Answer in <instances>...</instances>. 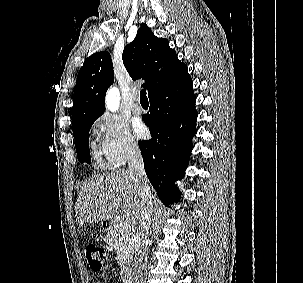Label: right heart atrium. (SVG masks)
Listing matches in <instances>:
<instances>
[{"instance_id":"1","label":"right heart atrium","mask_w":303,"mask_h":283,"mask_svg":"<svg viewBox=\"0 0 303 283\" xmlns=\"http://www.w3.org/2000/svg\"><path fill=\"white\" fill-rule=\"evenodd\" d=\"M100 153L112 166H121L139 152L128 126L113 115H103L93 124Z\"/></svg>"}]
</instances>
